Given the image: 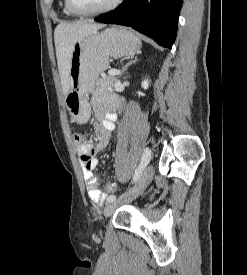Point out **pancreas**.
I'll list each match as a JSON object with an SVG mask.
<instances>
[{"label": "pancreas", "instance_id": "cf45deb5", "mask_svg": "<svg viewBox=\"0 0 247 275\" xmlns=\"http://www.w3.org/2000/svg\"><path fill=\"white\" fill-rule=\"evenodd\" d=\"M117 80L116 77H106V76H102L101 78H99L96 82V88L94 90V94H99V93H106L109 91L113 90V86L115 81Z\"/></svg>", "mask_w": 247, "mask_h": 275}]
</instances>
